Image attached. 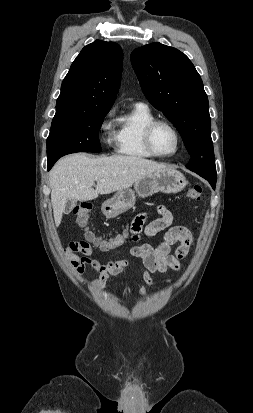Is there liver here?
<instances>
[{
    "label": "liver",
    "instance_id": "obj_1",
    "mask_svg": "<svg viewBox=\"0 0 253 413\" xmlns=\"http://www.w3.org/2000/svg\"><path fill=\"white\" fill-rule=\"evenodd\" d=\"M165 168L169 167L136 156L93 158L87 154H72L61 158L49 174L56 227L61 224L63 212L70 201L93 200L99 194L129 188L142 177Z\"/></svg>",
    "mask_w": 253,
    "mask_h": 413
}]
</instances>
